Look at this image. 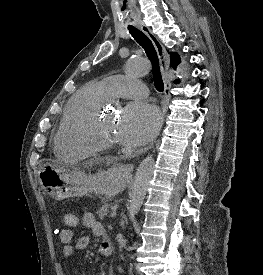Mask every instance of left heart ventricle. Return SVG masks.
<instances>
[{"label":"left heart ventricle","instance_id":"left-heart-ventricle-1","mask_svg":"<svg viewBox=\"0 0 263 275\" xmlns=\"http://www.w3.org/2000/svg\"><path fill=\"white\" fill-rule=\"evenodd\" d=\"M118 119L113 113L107 112L102 115L100 122V134L101 136L110 141L119 143V137L117 133Z\"/></svg>","mask_w":263,"mask_h":275}]
</instances>
